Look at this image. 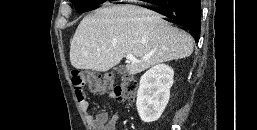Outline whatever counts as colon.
I'll return each instance as SVG.
<instances>
[{
	"instance_id": "1",
	"label": "colon",
	"mask_w": 257,
	"mask_h": 130,
	"mask_svg": "<svg viewBox=\"0 0 257 130\" xmlns=\"http://www.w3.org/2000/svg\"><path fill=\"white\" fill-rule=\"evenodd\" d=\"M71 81L77 99L84 98V89L88 87L94 93L114 92L117 99L125 104H133L138 89V82L132 76H124L121 82L114 85V75L111 73H96L94 71L75 70L71 73Z\"/></svg>"
}]
</instances>
